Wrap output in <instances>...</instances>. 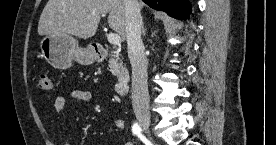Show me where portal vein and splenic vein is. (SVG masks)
<instances>
[{
	"instance_id": "1",
	"label": "portal vein and splenic vein",
	"mask_w": 276,
	"mask_h": 145,
	"mask_svg": "<svg viewBox=\"0 0 276 145\" xmlns=\"http://www.w3.org/2000/svg\"><path fill=\"white\" fill-rule=\"evenodd\" d=\"M107 40L113 45H119L121 43V37L115 33H109L107 35Z\"/></svg>"
}]
</instances>
